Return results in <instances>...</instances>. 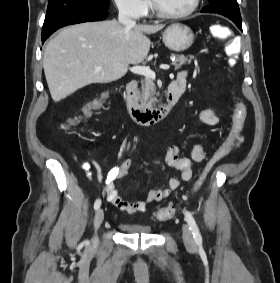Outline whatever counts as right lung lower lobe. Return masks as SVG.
Returning a JSON list of instances; mask_svg holds the SVG:
<instances>
[{
  "mask_svg": "<svg viewBox=\"0 0 280 283\" xmlns=\"http://www.w3.org/2000/svg\"><path fill=\"white\" fill-rule=\"evenodd\" d=\"M108 13L93 15V14H76L65 13L46 18L42 29V43L56 30L61 27L83 23L104 20Z\"/></svg>",
  "mask_w": 280,
  "mask_h": 283,
  "instance_id": "right-lung-lower-lobe-1",
  "label": "right lung lower lobe"
}]
</instances>
